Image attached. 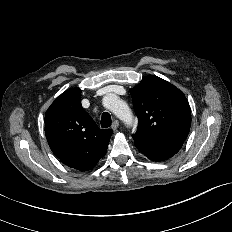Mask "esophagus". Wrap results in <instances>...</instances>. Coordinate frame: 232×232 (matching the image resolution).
Instances as JSON below:
<instances>
[{"instance_id":"esophagus-1","label":"esophagus","mask_w":232,"mask_h":232,"mask_svg":"<svg viewBox=\"0 0 232 232\" xmlns=\"http://www.w3.org/2000/svg\"><path fill=\"white\" fill-rule=\"evenodd\" d=\"M119 126V121L118 120H114L112 123L111 128L115 131Z\"/></svg>"}]
</instances>
